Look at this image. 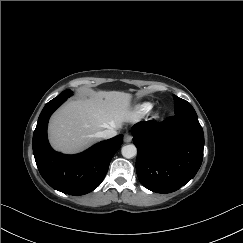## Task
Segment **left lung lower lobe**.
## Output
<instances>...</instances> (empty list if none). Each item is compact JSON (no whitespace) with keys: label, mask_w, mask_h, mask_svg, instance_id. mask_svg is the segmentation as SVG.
<instances>
[{"label":"left lung lower lobe","mask_w":243,"mask_h":243,"mask_svg":"<svg viewBox=\"0 0 243 243\" xmlns=\"http://www.w3.org/2000/svg\"><path fill=\"white\" fill-rule=\"evenodd\" d=\"M136 172L143 186L171 193L188 183L199 170L204 134L198 118L177 115L162 122L135 124Z\"/></svg>","instance_id":"1"}]
</instances>
